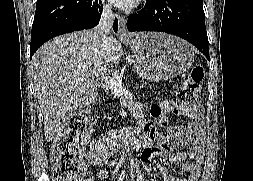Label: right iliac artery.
<instances>
[{"instance_id":"obj_1","label":"right iliac artery","mask_w":253,"mask_h":181,"mask_svg":"<svg viewBox=\"0 0 253 181\" xmlns=\"http://www.w3.org/2000/svg\"><path fill=\"white\" fill-rule=\"evenodd\" d=\"M122 163H123V161H121V160L118 162L117 169H118V166H121ZM117 169L113 173H116Z\"/></svg>"}]
</instances>
